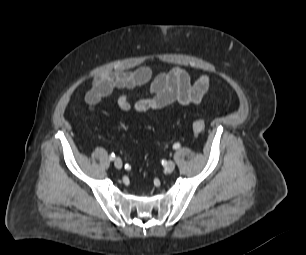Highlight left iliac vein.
<instances>
[{
	"label": "left iliac vein",
	"mask_w": 306,
	"mask_h": 255,
	"mask_svg": "<svg viewBox=\"0 0 306 255\" xmlns=\"http://www.w3.org/2000/svg\"><path fill=\"white\" fill-rule=\"evenodd\" d=\"M175 169V163L173 161H168L165 166L164 170L166 173H171Z\"/></svg>",
	"instance_id": "left-iliac-vein-1"
}]
</instances>
